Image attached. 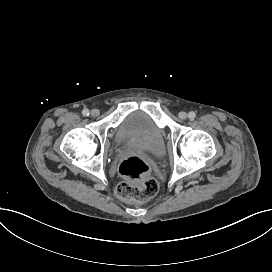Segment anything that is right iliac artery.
I'll list each match as a JSON object with an SVG mask.
<instances>
[{"label":"right iliac artery","mask_w":272,"mask_h":272,"mask_svg":"<svg viewBox=\"0 0 272 272\" xmlns=\"http://www.w3.org/2000/svg\"><path fill=\"white\" fill-rule=\"evenodd\" d=\"M82 114H83L84 116H88V115H89V110H88V109H84V110L82 111Z\"/></svg>","instance_id":"obj_1"}]
</instances>
